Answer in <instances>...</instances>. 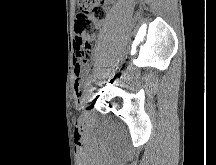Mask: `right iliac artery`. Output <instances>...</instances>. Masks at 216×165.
<instances>
[{"label":"right iliac artery","mask_w":216,"mask_h":165,"mask_svg":"<svg viewBox=\"0 0 216 165\" xmlns=\"http://www.w3.org/2000/svg\"><path fill=\"white\" fill-rule=\"evenodd\" d=\"M93 80H94V75H89L88 82L86 85L89 87ZM82 99L85 101L87 98L84 96Z\"/></svg>","instance_id":"82829eb1"}]
</instances>
